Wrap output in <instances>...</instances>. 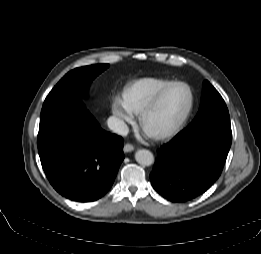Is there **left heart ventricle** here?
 Instances as JSON below:
<instances>
[{"mask_svg": "<svg viewBox=\"0 0 261 254\" xmlns=\"http://www.w3.org/2000/svg\"><path fill=\"white\" fill-rule=\"evenodd\" d=\"M190 94L186 87L176 85L163 97L158 107L147 117L145 129L148 133L174 126L186 112Z\"/></svg>", "mask_w": 261, "mask_h": 254, "instance_id": "b2bd125f", "label": "left heart ventricle"}]
</instances>
